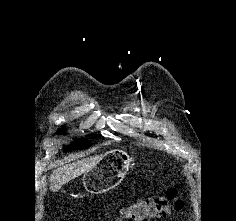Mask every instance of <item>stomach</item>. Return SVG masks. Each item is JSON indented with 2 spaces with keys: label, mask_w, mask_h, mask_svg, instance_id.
Returning a JSON list of instances; mask_svg holds the SVG:
<instances>
[{
  "label": "stomach",
  "mask_w": 236,
  "mask_h": 221,
  "mask_svg": "<svg viewBox=\"0 0 236 221\" xmlns=\"http://www.w3.org/2000/svg\"><path fill=\"white\" fill-rule=\"evenodd\" d=\"M132 158L120 150L106 153L102 159L83 176L85 189L101 194L117 186L131 167Z\"/></svg>",
  "instance_id": "0dacf381"
}]
</instances>
